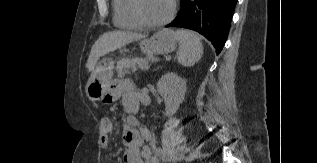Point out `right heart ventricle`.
Segmentation results:
<instances>
[{
	"instance_id": "1",
	"label": "right heart ventricle",
	"mask_w": 317,
	"mask_h": 163,
	"mask_svg": "<svg viewBox=\"0 0 317 163\" xmlns=\"http://www.w3.org/2000/svg\"><path fill=\"white\" fill-rule=\"evenodd\" d=\"M113 10V21L118 28L136 30L143 27L132 14L131 0H113Z\"/></svg>"
}]
</instances>
